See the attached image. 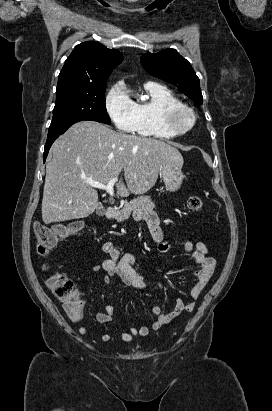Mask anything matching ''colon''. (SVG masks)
Segmentation results:
<instances>
[{"mask_svg":"<svg viewBox=\"0 0 272 411\" xmlns=\"http://www.w3.org/2000/svg\"><path fill=\"white\" fill-rule=\"evenodd\" d=\"M187 206L192 211H198L202 208L203 201L198 196H191L187 201ZM82 227L83 224L81 222H71L54 226L36 222L34 224V234L38 253L46 256L49 250L53 248L58 241L78 232ZM46 270L48 272L46 279L47 285L53 291L54 295L63 302L68 315L74 320L80 319L82 302L73 280L65 273L55 270L50 265H46Z\"/></svg>","mask_w":272,"mask_h":411,"instance_id":"obj_1","label":"colon"}]
</instances>
